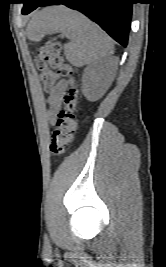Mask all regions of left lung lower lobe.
<instances>
[{
    "label": "left lung lower lobe",
    "mask_w": 166,
    "mask_h": 267,
    "mask_svg": "<svg viewBox=\"0 0 166 267\" xmlns=\"http://www.w3.org/2000/svg\"><path fill=\"white\" fill-rule=\"evenodd\" d=\"M23 3L24 15L41 5H67L87 15L124 47L127 45L134 0H24Z\"/></svg>",
    "instance_id": "obj_1"
}]
</instances>
